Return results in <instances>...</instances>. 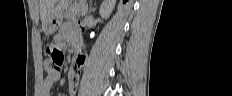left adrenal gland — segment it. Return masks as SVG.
<instances>
[{
  "mask_svg": "<svg viewBox=\"0 0 232 96\" xmlns=\"http://www.w3.org/2000/svg\"><path fill=\"white\" fill-rule=\"evenodd\" d=\"M92 11H93L92 5L90 4L89 13H91Z\"/></svg>",
  "mask_w": 232,
  "mask_h": 96,
  "instance_id": "obj_1",
  "label": "left adrenal gland"
}]
</instances>
